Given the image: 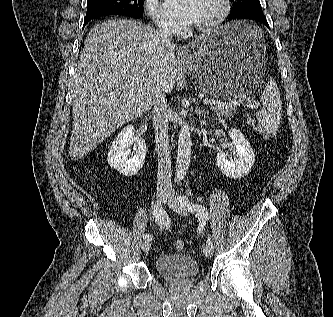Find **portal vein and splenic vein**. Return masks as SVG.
I'll use <instances>...</instances> for the list:
<instances>
[{"instance_id":"18ae733b","label":"portal vein and splenic vein","mask_w":333,"mask_h":317,"mask_svg":"<svg viewBox=\"0 0 333 317\" xmlns=\"http://www.w3.org/2000/svg\"><path fill=\"white\" fill-rule=\"evenodd\" d=\"M241 99L237 100V101H232L231 103H229L230 105H234V106H240L241 102H240ZM203 104L205 105H212V104H221V102L219 101H216V100H212V99H203ZM248 108L250 109H257L259 106L257 104H254V103H249L246 105Z\"/></svg>"}]
</instances>
